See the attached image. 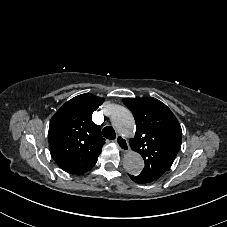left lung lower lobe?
Returning a JSON list of instances; mask_svg holds the SVG:
<instances>
[{"instance_id":"0a47b994","label":"left lung lower lobe","mask_w":227,"mask_h":227,"mask_svg":"<svg viewBox=\"0 0 227 227\" xmlns=\"http://www.w3.org/2000/svg\"><path fill=\"white\" fill-rule=\"evenodd\" d=\"M129 176L134 182L140 183V184H145V183L154 181L153 179L145 175H138V176L129 175Z\"/></svg>"}]
</instances>
